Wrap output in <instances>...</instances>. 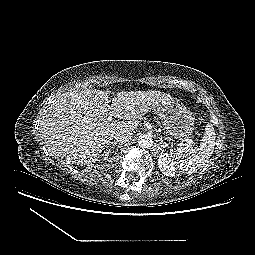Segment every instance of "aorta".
<instances>
[{"mask_svg":"<svg viewBox=\"0 0 255 255\" xmlns=\"http://www.w3.org/2000/svg\"><path fill=\"white\" fill-rule=\"evenodd\" d=\"M138 145L142 148H150L153 145V139L147 134L141 135L138 138Z\"/></svg>","mask_w":255,"mask_h":255,"instance_id":"762f6f07","label":"aorta"}]
</instances>
